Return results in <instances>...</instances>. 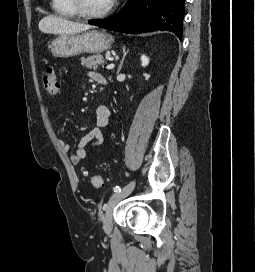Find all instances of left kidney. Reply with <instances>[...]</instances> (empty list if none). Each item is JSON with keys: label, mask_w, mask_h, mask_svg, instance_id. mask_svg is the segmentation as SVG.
<instances>
[{"label": "left kidney", "mask_w": 255, "mask_h": 272, "mask_svg": "<svg viewBox=\"0 0 255 272\" xmlns=\"http://www.w3.org/2000/svg\"><path fill=\"white\" fill-rule=\"evenodd\" d=\"M141 62H142L141 65L143 67H146L149 64V58L146 57L145 55H142L141 56Z\"/></svg>", "instance_id": "1"}]
</instances>
